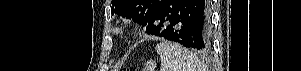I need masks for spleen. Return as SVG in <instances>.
I'll use <instances>...</instances> for the list:
<instances>
[{"label":"spleen","mask_w":301,"mask_h":71,"mask_svg":"<svg viewBox=\"0 0 301 71\" xmlns=\"http://www.w3.org/2000/svg\"><path fill=\"white\" fill-rule=\"evenodd\" d=\"M156 51L160 56V71H204L199 58L179 44L161 42Z\"/></svg>","instance_id":"3e777b00"}]
</instances>
